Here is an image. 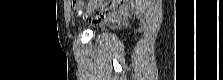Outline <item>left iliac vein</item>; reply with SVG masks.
<instances>
[{"instance_id":"4c4485c4","label":"left iliac vein","mask_w":223,"mask_h":80,"mask_svg":"<svg viewBox=\"0 0 223 80\" xmlns=\"http://www.w3.org/2000/svg\"><path fill=\"white\" fill-rule=\"evenodd\" d=\"M98 3H96V4H94V5H91L90 7H89V10L90 11H94L97 7H98Z\"/></svg>"}]
</instances>
